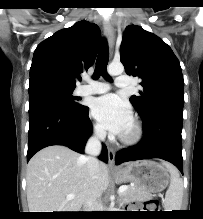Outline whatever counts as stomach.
Segmentation results:
<instances>
[{"label":"stomach","instance_id":"1","mask_svg":"<svg viewBox=\"0 0 203 219\" xmlns=\"http://www.w3.org/2000/svg\"><path fill=\"white\" fill-rule=\"evenodd\" d=\"M118 182H133L148 194L164 190L170 182L168 170L151 160H140L119 168L114 173Z\"/></svg>","mask_w":203,"mask_h":219}]
</instances>
